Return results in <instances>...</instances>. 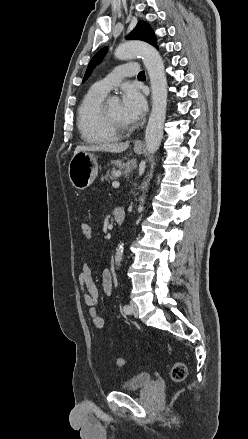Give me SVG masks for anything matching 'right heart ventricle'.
<instances>
[{
	"mask_svg": "<svg viewBox=\"0 0 248 439\" xmlns=\"http://www.w3.org/2000/svg\"><path fill=\"white\" fill-rule=\"evenodd\" d=\"M106 95L91 87L83 97L77 110V126L83 140L89 144L116 142L120 134L108 129L102 118L101 108Z\"/></svg>",
	"mask_w": 248,
	"mask_h": 439,
	"instance_id": "e07e8e85",
	"label": "right heart ventricle"
}]
</instances>
